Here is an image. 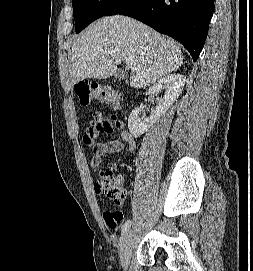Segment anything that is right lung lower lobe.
<instances>
[{"instance_id": "1", "label": "right lung lower lobe", "mask_w": 253, "mask_h": 271, "mask_svg": "<svg viewBox=\"0 0 253 271\" xmlns=\"http://www.w3.org/2000/svg\"><path fill=\"white\" fill-rule=\"evenodd\" d=\"M213 10L214 0H125L116 14L133 17L177 39L196 61L208 34Z\"/></svg>"}]
</instances>
